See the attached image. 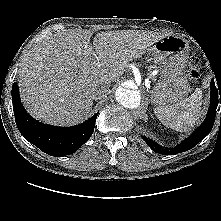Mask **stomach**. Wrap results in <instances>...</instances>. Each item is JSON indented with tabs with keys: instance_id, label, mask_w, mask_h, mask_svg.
<instances>
[{
	"instance_id": "obj_1",
	"label": "stomach",
	"mask_w": 221,
	"mask_h": 221,
	"mask_svg": "<svg viewBox=\"0 0 221 221\" xmlns=\"http://www.w3.org/2000/svg\"><path fill=\"white\" fill-rule=\"evenodd\" d=\"M154 60L160 73L151 92V102L156 106H166L179 102L190 91L185 75L189 57V44L181 36L167 35L156 41L151 47Z\"/></svg>"
}]
</instances>
